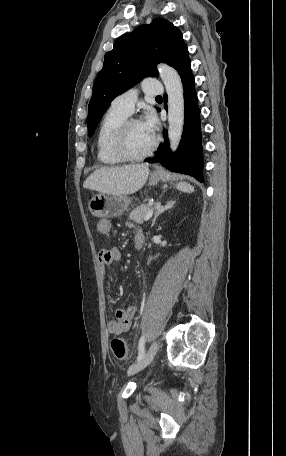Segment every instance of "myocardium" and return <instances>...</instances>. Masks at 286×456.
<instances>
[{"label":"myocardium","instance_id":"obj_1","mask_svg":"<svg viewBox=\"0 0 286 456\" xmlns=\"http://www.w3.org/2000/svg\"><path fill=\"white\" fill-rule=\"evenodd\" d=\"M134 123H140V121L136 118H126L118 127L114 139H113V151L115 155L121 160L125 162H137L145 160L146 158L150 157L153 152L155 151L158 141L154 137L153 142L150 148L142 155L139 156H132L127 153L125 145H126V137L129 127Z\"/></svg>","mask_w":286,"mask_h":456}]
</instances>
